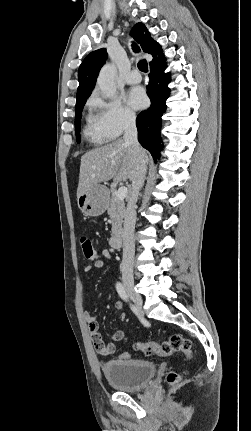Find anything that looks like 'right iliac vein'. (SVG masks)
Masks as SVG:
<instances>
[{
	"label": "right iliac vein",
	"instance_id": "obj_1",
	"mask_svg": "<svg viewBox=\"0 0 251 431\" xmlns=\"http://www.w3.org/2000/svg\"><path fill=\"white\" fill-rule=\"evenodd\" d=\"M124 287H125L126 291L128 292V294L130 295V297L132 298V300L135 302V304L138 307H141L143 304V300H142L141 295L135 291L133 283L126 281L124 283Z\"/></svg>",
	"mask_w": 251,
	"mask_h": 431
}]
</instances>
